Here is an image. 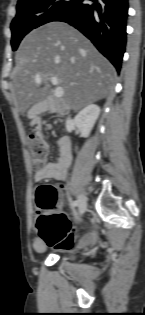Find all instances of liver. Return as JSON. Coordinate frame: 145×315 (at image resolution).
<instances>
[{
	"mask_svg": "<svg viewBox=\"0 0 145 315\" xmlns=\"http://www.w3.org/2000/svg\"><path fill=\"white\" fill-rule=\"evenodd\" d=\"M11 92L15 106L32 117L33 106L47 102L59 112L77 111L113 89L115 68L78 30L51 22L31 31L16 52ZM41 77V83L35 77ZM51 77L64 94L55 101Z\"/></svg>",
	"mask_w": 145,
	"mask_h": 315,
	"instance_id": "6515ba94",
	"label": "liver"
}]
</instances>
